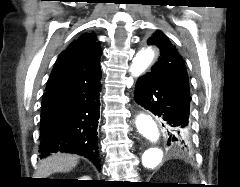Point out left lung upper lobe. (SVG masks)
Here are the masks:
<instances>
[{
	"label": "left lung upper lobe",
	"mask_w": 240,
	"mask_h": 187,
	"mask_svg": "<svg viewBox=\"0 0 240 187\" xmlns=\"http://www.w3.org/2000/svg\"><path fill=\"white\" fill-rule=\"evenodd\" d=\"M147 44L157 46L160 49V57L151 68L150 73L173 88L190 93L188 74L184 60L166 35L160 30H157L148 38ZM179 131L186 139L191 140L190 128L179 129ZM191 146L189 149H191Z\"/></svg>",
	"instance_id": "obj_1"
}]
</instances>
